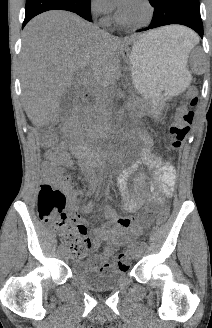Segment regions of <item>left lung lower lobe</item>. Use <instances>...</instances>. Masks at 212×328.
<instances>
[{
	"instance_id": "left-lung-lower-lobe-1",
	"label": "left lung lower lobe",
	"mask_w": 212,
	"mask_h": 328,
	"mask_svg": "<svg viewBox=\"0 0 212 328\" xmlns=\"http://www.w3.org/2000/svg\"><path fill=\"white\" fill-rule=\"evenodd\" d=\"M149 2L154 7V14L150 25L143 30L181 24L192 28L203 38L199 0H149Z\"/></svg>"
}]
</instances>
